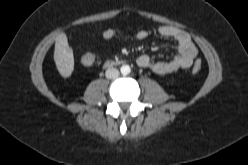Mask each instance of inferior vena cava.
I'll list each match as a JSON object with an SVG mask.
<instances>
[{"mask_svg":"<svg viewBox=\"0 0 248 165\" xmlns=\"http://www.w3.org/2000/svg\"><path fill=\"white\" fill-rule=\"evenodd\" d=\"M119 71L116 68H108L105 72L106 78L115 79L119 76Z\"/></svg>","mask_w":248,"mask_h":165,"instance_id":"1","label":"inferior vena cava"}]
</instances>
